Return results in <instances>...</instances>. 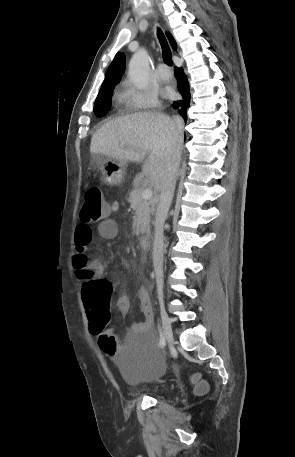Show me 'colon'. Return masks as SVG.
Listing matches in <instances>:
<instances>
[{"label":"colon","mask_w":295,"mask_h":457,"mask_svg":"<svg viewBox=\"0 0 295 457\" xmlns=\"http://www.w3.org/2000/svg\"><path fill=\"white\" fill-rule=\"evenodd\" d=\"M109 215L108 204L104 200L101 189L91 186L85 194V201L79 213L80 224L90 227L102 222ZM73 267L78 276L85 281L82 289V301L86 310L90 330L98 338V344L104 359L119 361L127 358V347L118 341L117 333H110L109 305L112 289L104 280L94 279L89 269V260L84 252H77L73 257ZM196 379L194 376L191 378ZM194 390H205V381H194Z\"/></svg>","instance_id":"1"}]
</instances>
